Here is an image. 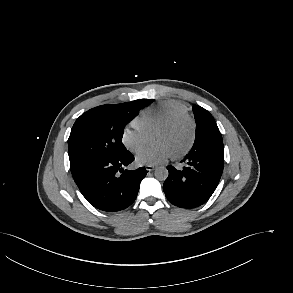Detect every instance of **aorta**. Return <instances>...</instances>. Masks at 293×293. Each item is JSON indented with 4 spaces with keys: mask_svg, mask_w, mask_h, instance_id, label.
Instances as JSON below:
<instances>
[{
    "mask_svg": "<svg viewBox=\"0 0 293 293\" xmlns=\"http://www.w3.org/2000/svg\"><path fill=\"white\" fill-rule=\"evenodd\" d=\"M155 177L160 180V181H164L167 179L168 177V170L165 167H158L155 170Z\"/></svg>",
    "mask_w": 293,
    "mask_h": 293,
    "instance_id": "aorta-1",
    "label": "aorta"
}]
</instances>
